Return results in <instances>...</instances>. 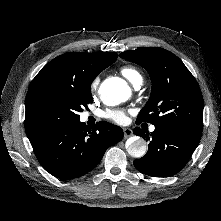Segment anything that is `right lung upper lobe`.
<instances>
[{"label": "right lung upper lobe", "mask_w": 221, "mask_h": 221, "mask_svg": "<svg viewBox=\"0 0 221 221\" xmlns=\"http://www.w3.org/2000/svg\"><path fill=\"white\" fill-rule=\"evenodd\" d=\"M117 59L113 52H69L46 64L33 79L29 90L43 81H54L74 86H87L96 76Z\"/></svg>", "instance_id": "right-lung-upper-lobe-1"}]
</instances>
